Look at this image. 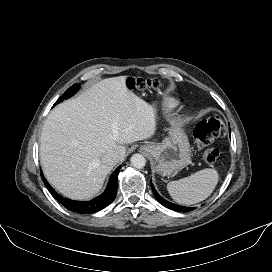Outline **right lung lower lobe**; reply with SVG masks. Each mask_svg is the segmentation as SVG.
<instances>
[{
  "label": "right lung lower lobe",
  "instance_id": "right-lung-lower-lobe-1",
  "mask_svg": "<svg viewBox=\"0 0 272 272\" xmlns=\"http://www.w3.org/2000/svg\"><path fill=\"white\" fill-rule=\"evenodd\" d=\"M120 168L121 166H119L110 177L107 188L103 194L94 198L93 200L85 201V202L75 201V200L62 197L61 195L56 193L55 190L50 186V184L47 182V180L43 176L42 172H41V177H42V180L44 181L45 186L50 191V193H52V195L57 199V201L60 202L64 207H66L67 209L73 212H78V213H84V214L95 213L107 207L115 199L116 193H117V177H118Z\"/></svg>",
  "mask_w": 272,
  "mask_h": 272
}]
</instances>
